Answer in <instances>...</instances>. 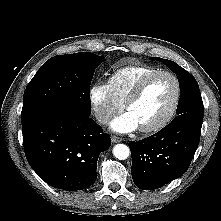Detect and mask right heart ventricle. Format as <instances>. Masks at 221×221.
I'll return each mask as SVG.
<instances>
[{"instance_id": "e07e8e85", "label": "right heart ventricle", "mask_w": 221, "mask_h": 221, "mask_svg": "<svg viewBox=\"0 0 221 221\" xmlns=\"http://www.w3.org/2000/svg\"><path fill=\"white\" fill-rule=\"evenodd\" d=\"M157 70L159 69L142 64L123 66L109 76L108 86L116 100L123 104L139 80Z\"/></svg>"}]
</instances>
